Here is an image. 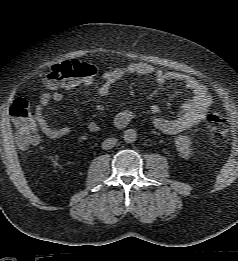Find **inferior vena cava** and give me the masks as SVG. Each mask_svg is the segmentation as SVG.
<instances>
[{"label":"inferior vena cava","mask_w":238,"mask_h":261,"mask_svg":"<svg viewBox=\"0 0 238 261\" xmlns=\"http://www.w3.org/2000/svg\"><path fill=\"white\" fill-rule=\"evenodd\" d=\"M116 143H117V139L116 138H107L102 143V149L109 150V149L113 148Z\"/></svg>","instance_id":"obj_1"}]
</instances>
